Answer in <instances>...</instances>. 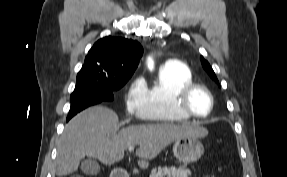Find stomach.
Here are the masks:
<instances>
[{"mask_svg": "<svg viewBox=\"0 0 287 177\" xmlns=\"http://www.w3.org/2000/svg\"><path fill=\"white\" fill-rule=\"evenodd\" d=\"M204 152L199 137L185 136L177 139L173 146L174 156L182 163L188 164L199 160ZM119 172L114 170V174Z\"/></svg>", "mask_w": 287, "mask_h": 177, "instance_id": "1", "label": "stomach"}]
</instances>
